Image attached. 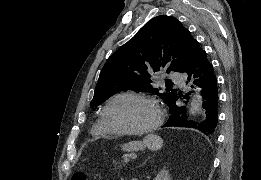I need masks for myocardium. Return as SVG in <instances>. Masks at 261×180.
Segmentation results:
<instances>
[{"label": "myocardium", "instance_id": "1", "mask_svg": "<svg viewBox=\"0 0 261 180\" xmlns=\"http://www.w3.org/2000/svg\"><path fill=\"white\" fill-rule=\"evenodd\" d=\"M127 96H135V97L142 98V99L148 101L153 107V117H152L151 123H150L148 129L142 133L117 132L110 126V124L107 120L106 114H107L108 108L118 99L127 97ZM161 118H162V112H161V107H160L159 101L157 100V98L155 96H153L152 94H150L146 91H143V90H125V91L119 92V93L113 95L104 104V106L101 110V119H102L104 127L111 135H113L119 139H138V140L147 139V138L153 136L157 132L158 127L161 123Z\"/></svg>", "mask_w": 261, "mask_h": 180}]
</instances>
